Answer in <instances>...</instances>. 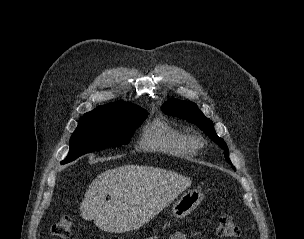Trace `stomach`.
I'll list each match as a JSON object with an SVG mask.
<instances>
[{
	"label": "stomach",
	"instance_id": "0dacf381",
	"mask_svg": "<svg viewBox=\"0 0 304 239\" xmlns=\"http://www.w3.org/2000/svg\"><path fill=\"white\" fill-rule=\"evenodd\" d=\"M204 194L199 189L185 192L172 206V214L176 218L189 215L203 200Z\"/></svg>",
	"mask_w": 304,
	"mask_h": 239
}]
</instances>
